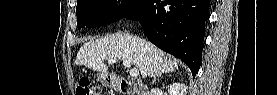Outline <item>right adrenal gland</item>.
<instances>
[{
    "label": "right adrenal gland",
    "mask_w": 277,
    "mask_h": 95,
    "mask_svg": "<svg viewBox=\"0 0 277 95\" xmlns=\"http://www.w3.org/2000/svg\"><path fill=\"white\" fill-rule=\"evenodd\" d=\"M161 76H162V74L156 75L152 80V84H154L156 82L157 78H159Z\"/></svg>",
    "instance_id": "1"
}]
</instances>
